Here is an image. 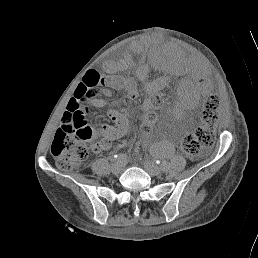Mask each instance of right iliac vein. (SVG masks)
<instances>
[{
    "label": "right iliac vein",
    "instance_id": "1",
    "mask_svg": "<svg viewBox=\"0 0 258 258\" xmlns=\"http://www.w3.org/2000/svg\"><path fill=\"white\" fill-rule=\"evenodd\" d=\"M122 168H123V163L121 162V160H118L116 163L112 164L111 171L114 174H118L121 172Z\"/></svg>",
    "mask_w": 258,
    "mask_h": 258
}]
</instances>
